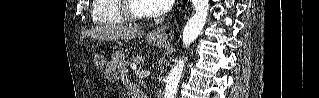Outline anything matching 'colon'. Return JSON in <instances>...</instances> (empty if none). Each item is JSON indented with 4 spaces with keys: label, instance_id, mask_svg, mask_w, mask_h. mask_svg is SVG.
Masks as SVG:
<instances>
[{
    "label": "colon",
    "instance_id": "5ec220e1",
    "mask_svg": "<svg viewBox=\"0 0 319 98\" xmlns=\"http://www.w3.org/2000/svg\"><path fill=\"white\" fill-rule=\"evenodd\" d=\"M93 61L98 68L104 67V58L101 53L95 52L93 53Z\"/></svg>",
    "mask_w": 319,
    "mask_h": 98
}]
</instances>
